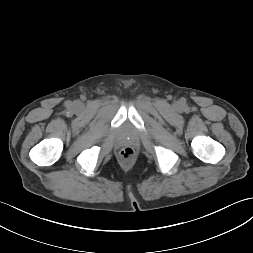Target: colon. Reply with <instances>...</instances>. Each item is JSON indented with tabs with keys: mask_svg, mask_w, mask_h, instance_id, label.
Here are the masks:
<instances>
[{
	"mask_svg": "<svg viewBox=\"0 0 253 253\" xmlns=\"http://www.w3.org/2000/svg\"><path fill=\"white\" fill-rule=\"evenodd\" d=\"M120 157L125 160V161H130L134 155H135V151L132 147H124L120 150Z\"/></svg>",
	"mask_w": 253,
	"mask_h": 253,
	"instance_id": "1",
	"label": "colon"
}]
</instances>
